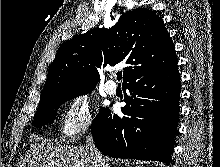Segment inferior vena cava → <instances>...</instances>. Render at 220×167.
<instances>
[{
    "label": "inferior vena cava",
    "mask_w": 220,
    "mask_h": 167,
    "mask_svg": "<svg viewBox=\"0 0 220 167\" xmlns=\"http://www.w3.org/2000/svg\"><path fill=\"white\" fill-rule=\"evenodd\" d=\"M86 148L89 149L91 153L95 167H109L103 155L96 149L93 137L90 133L86 137Z\"/></svg>",
    "instance_id": "1"
}]
</instances>
